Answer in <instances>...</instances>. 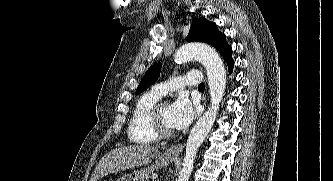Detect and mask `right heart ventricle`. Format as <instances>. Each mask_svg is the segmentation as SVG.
<instances>
[{"label": "right heart ventricle", "mask_w": 333, "mask_h": 181, "mask_svg": "<svg viewBox=\"0 0 333 181\" xmlns=\"http://www.w3.org/2000/svg\"><path fill=\"white\" fill-rule=\"evenodd\" d=\"M160 99L161 97L153 91L144 93L137 99L128 126V137L131 142L151 144L157 141L158 136L150 128L148 115Z\"/></svg>", "instance_id": "obj_1"}]
</instances>
